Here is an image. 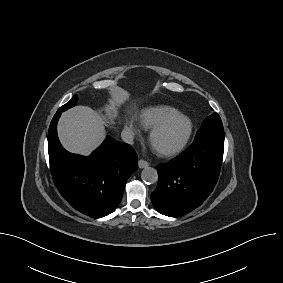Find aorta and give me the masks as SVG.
<instances>
[{
	"mask_svg": "<svg viewBox=\"0 0 283 283\" xmlns=\"http://www.w3.org/2000/svg\"><path fill=\"white\" fill-rule=\"evenodd\" d=\"M141 178L145 183L153 184L158 180V174L156 169L152 167H146L141 172Z\"/></svg>",
	"mask_w": 283,
	"mask_h": 283,
	"instance_id": "762f6f07",
	"label": "aorta"
}]
</instances>
